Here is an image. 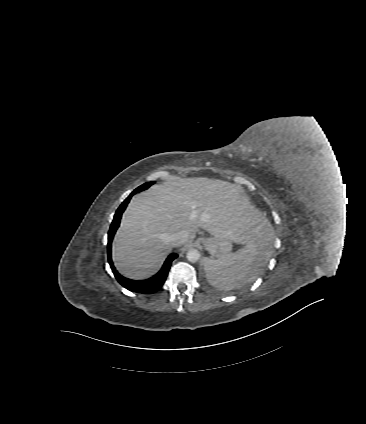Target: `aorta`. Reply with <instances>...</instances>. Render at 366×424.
Instances as JSON below:
<instances>
[{
    "label": "aorta",
    "mask_w": 366,
    "mask_h": 424,
    "mask_svg": "<svg viewBox=\"0 0 366 424\" xmlns=\"http://www.w3.org/2000/svg\"><path fill=\"white\" fill-rule=\"evenodd\" d=\"M187 260L191 263H195L200 259V252L197 249L191 248L187 252Z\"/></svg>",
    "instance_id": "1"
}]
</instances>
